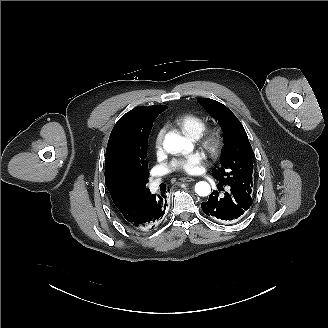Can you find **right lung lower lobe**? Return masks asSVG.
I'll list each match as a JSON object with an SVG mask.
<instances>
[{"label": "right lung lower lobe", "mask_w": 328, "mask_h": 328, "mask_svg": "<svg viewBox=\"0 0 328 328\" xmlns=\"http://www.w3.org/2000/svg\"><path fill=\"white\" fill-rule=\"evenodd\" d=\"M166 203L167 201L164 195L156 196L155 194H151L137 220L130 224L125 221L123 222L126 226L133 229L141 231L150 230L157 226L162 220L166 210Z\"/></svg>", "instance_id": "right-lung-lower-lobe-1"}]
</instances>
